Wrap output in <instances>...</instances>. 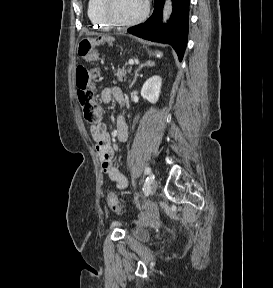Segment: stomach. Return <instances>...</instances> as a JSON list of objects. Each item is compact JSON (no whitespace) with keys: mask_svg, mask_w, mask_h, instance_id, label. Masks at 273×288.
I'll use <instances>...</instances> for the list:
<instances>
[{"mask_svg":"<svg viewBox=\"0 0 273 288\" xmlns=\"http://www.w3.org/2000/svg\"><path fill=\"white\" fill-rule=\"evenodd\" d=\"M80 44L81 48L78 46V52L82 57L87 58L88 54L94 50L96 39L85 37L80 41Z\"/></svg>","mask_w":273,"mask_h":288,"instance_id":"0dacf381","label":"stomach"}]
</instances>
